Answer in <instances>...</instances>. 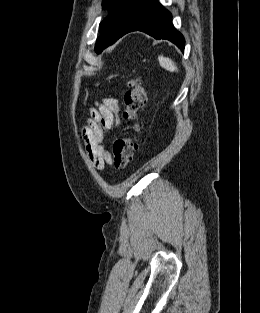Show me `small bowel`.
I'll list each match as a JSON object with an SVG mask.
<instances>
[{
  "mask_svg": "<svg viewBox=\"0 0 260 313\" xmlns=\"http://www.w3.org/2000/svg\"><path fill=\"white\" fill-rule=\"evenodd\" d=\"M121 105L117 98L106 97L96 108L89 112L87 123L82 128V136L89 160L92 166L102 171L107 164L112 163L111 152L102 145L104 131L118 130Z\"/></svg>",
  "mask_w": 260,
  "mask_h": 313,
  "instance_id": "small-bowel-1",
  "label": "small bowel"
}]
</instances>
